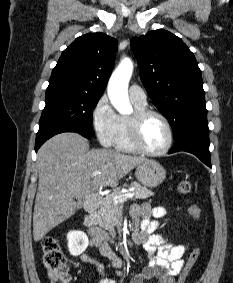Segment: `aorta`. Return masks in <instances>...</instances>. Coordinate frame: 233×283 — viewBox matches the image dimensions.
<instances>
[{
  "instance_id": "762f6f07",
  "label": "aorta",
  "mask_w": 233,
  "mask_h": 283,
  "mask_svg": "<svg viewBox=\"0 0 233 283\" xmlns=\"http://www.w3.org/2000/svg\"><path fill=\"white\" fill-rule=\"evenodd\" d=\"M133 73V62L129 58L123 59L112 73L108 83V96L121 114L132 112V105L128 97V83Z\"/></svg>"
}]
</instances>
